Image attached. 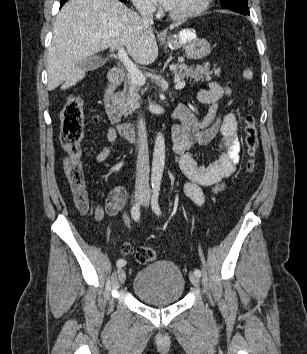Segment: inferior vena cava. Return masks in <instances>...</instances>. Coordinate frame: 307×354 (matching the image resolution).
I'll return each mask as SVG.
<instances>
[{"label":"inferior vena cava","instance_id":"602c4592","mask_svg":"<svg viewBox=\"0 0 307 354\" xmlns=\"http://www.w3.org/2000/svg\"><path fill=\"white\" fill-rule=\"evenodd\" d=\"M138 10L140 12L142 21L144 25H153V13L154 9L152 7H147L145 5H139ZM138 140H137V161H136V181L135 190L136 192H142L149 194V155H148V144H147V133L146 124L143 116H139L138 124Z\"/></svg>","mask_w":307,"mask_h":354}]
</instances>
